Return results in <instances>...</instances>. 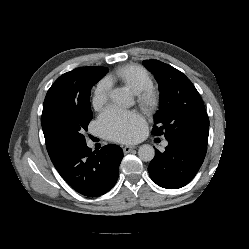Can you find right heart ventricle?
Here are the masks:
<instances>
[{
	"mask_svg": "<svg viewBox=\"0 0 249 249\" xmlns=\"http://www.w3.org/2000/svg\"><path fill=\"white\" fill-rule=\"evenodd\" d=\"M109 79L127 85L136 94L153 85L151 74L137 64H128L116 69Z\"/></svg>",
	"mask_w": 249,
	"mask_h": 249,
	"instance_id": "1",
	"label": "right heart ventricle"
}]
</instances>
